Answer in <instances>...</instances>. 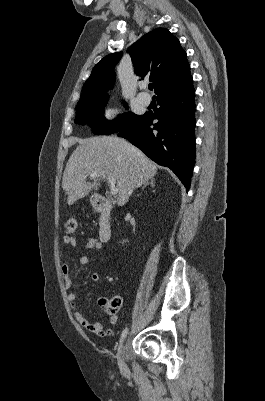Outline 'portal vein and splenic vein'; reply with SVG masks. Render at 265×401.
I'll list each match as a JSON object with an SVG mask.
<instances>
[{
    "mask_svg": "<svg viewBox=\"0 0 265 401\" xmlns=\"http://www.w3.org/2000/svg\"><path fill=\"white\" fill-rule=\"evenodd\" d=\"M97 174H98V172H91V174H89V176H92V178H94V176H97ZM108 182H110L111 194H117L118 188H117V186H115L116 178H114V176H108Z\"/></svg>",
    "mask_w": 265,
    "mask_h": 401,
    "instance_id": "18ae733b",
    "label": "portal vein and splenic vein"
}]
</instances>
